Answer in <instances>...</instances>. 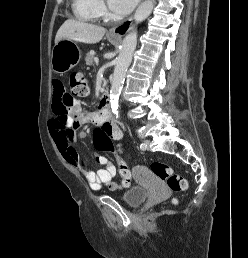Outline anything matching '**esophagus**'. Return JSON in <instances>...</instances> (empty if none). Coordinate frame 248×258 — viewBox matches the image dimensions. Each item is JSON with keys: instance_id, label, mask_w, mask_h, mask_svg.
<instances>
[{"instance_id": "obj_1", "label": "esophagus", "mask_w": 248, "mask_h": 258, "mask_svg": "<svg viewBox=\"0 0 248 258\" xmlns=\"http://www.w3.org/2000/svg\"><path fill=\"white\" fill-rule=\"evenodd\" d=\"M132 24H133V15H131L123 23H121L115 27H112L109 30V34L115 35V36H123L124 34H126L129 31V29L132 27Z\"/></svg>"}]
</instances>
